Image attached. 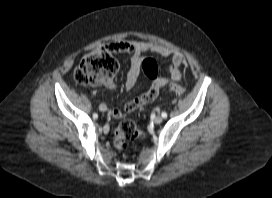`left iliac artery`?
Instances as JSON below:
<instances>
[{"instance_id": "obj_1", "label": "left iliac artery", "mask_w": 272, "mask_h": 198, "mask_svg": "<svg viewBox=\"0 0 272 198\" xmlns=\"http://www.w3.org/2000/svg\"><path fill=\"white\" fill-rule=\"evenodd\" d=\"M161 115H162L163 118H166V117H167V113H166V112H162Z\"/></svg>"}]
</instances>
